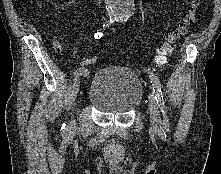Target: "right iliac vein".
<instances>
[{"label": "right iliac vein", "instance_id": "obj_1", "mask_svg": "<svg viewBox=\"0 0 221 174\" xmlns=\"http://www.w3.org/2000/svg\"><path fill=\"white\" fill-rule=\"evenodd\" d=\"M79 87H80V75L76 74V76L73 79V83H72V98L73 101L76 100L77 94L79 92ZM73 122H71V126H73Z\"/></svg>", "mask_w": 221, "mask_h": 174}]
</instances>
